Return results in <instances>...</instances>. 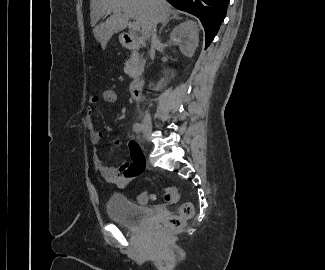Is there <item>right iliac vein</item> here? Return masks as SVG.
<instances>
[{"label":"right iliac vein","mask_w":325,"mask_h":270,"mask_svg":"<svg viewBox=\"0 0 325 270\" xmlns=\"http://www.w3.org/2000/svg\"><path fill=\"white\" fill-rule=\"evenodd\" d=\"M142 132L144 136L149 140L152 134V126L149 122H145L142 126Z\"/></svg>","instance_id":"right-iliac-vein-1"}]
</instances>
